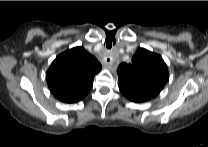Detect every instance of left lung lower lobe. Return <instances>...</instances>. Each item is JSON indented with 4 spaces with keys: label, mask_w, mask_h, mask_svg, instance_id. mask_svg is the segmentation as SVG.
Wrapping results in <instances>:
<instances>
[{
    "label": "left lung lower lobe",
    "mask_w": 208,
    "mask_h": 147,
    "mask_svg": "<svg viewBox=\"0 0 208 147\" xmlns=\"http://www.w3.org/2000/svg\"><path fill=\"white\" fill-rule=\"evenodd\" d=\"M121 93L130 101L133 102H144L149 100V98H147L146 96L139 94V93H135V92H129V91H121Z\"/></svg>",
    "instance_id": "1"
}]
</instances>
